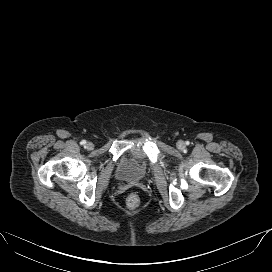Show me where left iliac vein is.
Here are the masks:
<instances>
[{
    "instance_id": "left-iliac-vein-1",
    "label": "left iliac vein",
    "mask_w": 272,
    "mask_h": 272,
    "mask_svg": "<svg viewBox=\"0 0 272 272\" xmlns=\"http://www.w3.org/2000/svg\"><path fill=\"white\" fill-rule=\"evenodd\" d=\"M177 147H178V149H183L184 148V142L183 141H178L177 142Z\"/></svg>"
}]
</instances>
